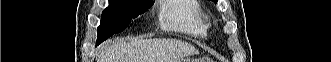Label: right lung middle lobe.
<instances>
[{"mask_svg": "<svg viewBox=\"0 0 331 62\" xmlns=\"http://www.w3.org/2000/svg\"><path fill=\"white\" fill-rule=\"evenodd\" d=\"M109 4L102 13L101 23L97 29V44L123 31L132 19L146 12L153 2L152 0H109Z\"/></svg>", "mask_w": 331, "mask_h": 62, "instance_id": "1", "label": "right lung middle lobe"}]
</instances>
